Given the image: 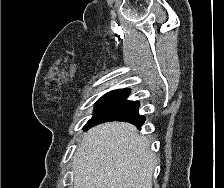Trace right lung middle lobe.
I'll use <instances>...</instances> for the list:
<instances>
[{
  "label": "right lung middle lobe",
  "mask_w": 224,
  "mask_h": 188,
  "mask_svg": "<svg viewBox=\"0 0 224 188\" xmlns=\"http://www.w3.org/2000/svg\"><path fill=\"white\" fill-rule=\"evenodd\" d=\"M122 90L121 89H117L114 91H111L107 94H105L104 96H102L97 103L95 104V114L103 107L105 106L112 98H114L116 95H118ZM94 114V116H95ZM93 116V117H94ZM92 117V118H93ZM92 118L87 122V124L84 126V130L85 128L88 126V124L90 123V121L92 120Z\"/></svg>",
  "instance_id": "1"
}]
</instances>
